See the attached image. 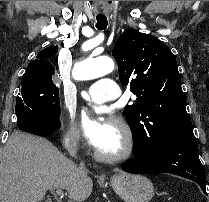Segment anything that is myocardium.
<instances>
[{
  "instance_id": "f54148a6",
  "label": "myocardium",
  "mask_w": 209,
  "mask_h": 202,
  "mask_svg": "<svg viewBox=\"0 0 209 202\" xmlns=\"http://www.w3.org/2000/svg\"><path fill=\"white\" fill-rule=\"evenodd\" d=\"M109 123L114 124L120 130L123 136V145L118 152L112 154L103 153L94 149L93 156L97 161L105 163L124 161L132 156L135 149V139L132 130L124 119L117 116L110 117Z\"/></svg>"
}]
</instances>
